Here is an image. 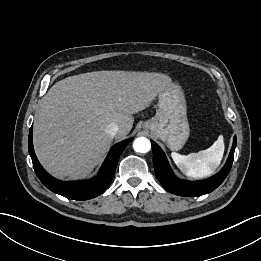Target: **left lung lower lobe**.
I'll return each instance as SVG.
<instances>
[{
    "label": "left lung lower lobe",
    "instance_id": "1",
    "mask_svg": "<svg viewBox=\"0 0 261 261\" xmlns=\"http://www.w3.org/2000/svg\"><path fill=\"white\" fill-rule=\"evenodd\" d=\"M151 143L153 149L154 170L163 187L168 192L179 196L198 197L215 190L227 177L234 159L236 136L233 138V145L229 157L221 171L209 179L197 182L182 181L176 178L173 175L164 152L153 141H151Z\"/></svg>",
    "mask_w": 261,
    "mask_h": 261
}]
</instances>
